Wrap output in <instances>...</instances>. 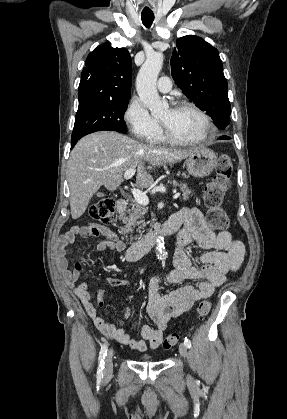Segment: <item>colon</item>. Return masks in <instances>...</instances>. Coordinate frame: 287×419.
Listing matches in <instances>:
<instances>
[{"label":"colon","instance_id":"5ec220e1","mask_svg":"<svg viewBox=\"0 0 287 419\" xmlns=\"http://www.w3.org/2000/svg\"><path fill=\"white\" fill-rule=\"evenodd\" d=\"M233 162L229 155H220L216 164V175L204 189V203L207 208V220L211 228L225 230L229 226V218L222 208L224 195L226 194L232 175ZM90 215L104 224H113L116 219L115 201L106 197L99 200L91 209ZM79 268V267H78ZM211 310V302L208 299L200 301L197 313L204 318ZM179 341V335L172 333L167 335L161 342L162 349H171Z\"/></svg>","mask_w":287,"mask_h":419}]
</instances>
